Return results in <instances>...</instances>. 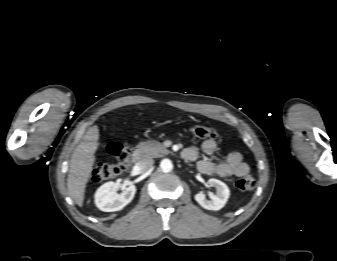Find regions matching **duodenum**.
I'll return each instance as SVG.
<instances>
[{
	"label": "duodenum",
	"mask_w": 337,
	"mask_h": 261,
	"mask_svg": "<svg viewBox=\"0 0 337 261\" xmlns=\"http://www.w3.org/2000/svg\"><path fill=\"white\" fill-rule=\"evenodd\" d=\"M142 158V154L140 151H134L131 156V160L133 163H138Z\"/></svg>",
	"instance_id": "obj_1"
}]
</instances>
